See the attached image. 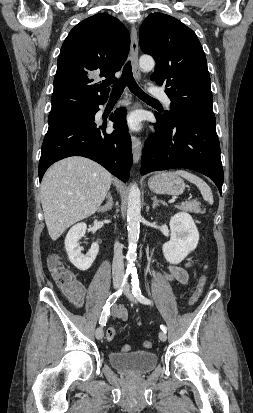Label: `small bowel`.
Listing matches in <instances>:
<instances>
[{
  "instance_id": "obj_1",
  "label": "small bowel",
  "mask_w": 253,
  "mask_h": 413,
  "mask_svg": "<svg viewBox=\"0 0 253 413\" xmlns=\"http://www.w3.org/2000/svg\"><path fill=\"white\" fill-rule=\"evenodd\" d=\"M192 264L191 260H188L184 266L166 265L165 277L170 281H176L181 284L188 283L187 268ZM61 290L64 293L67 300L75 307L80 308L83 306L87 289L83 283L76 278L68 285L61 286ZM112 317L120 320H126L128 318L127 310L120 305H115L111 309Z\"/></svg>"
}]
</instances>
